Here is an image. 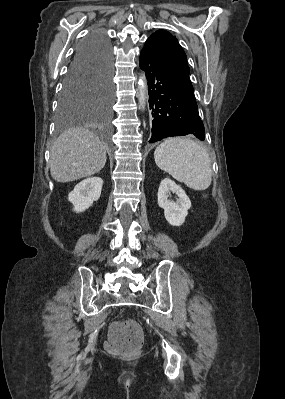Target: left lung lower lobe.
Instances as JSON below:
<instances>
[{
    "mask_svg": "<svg viewBox=\"0 0 285 399\" xmlns=\"http://www.w3.org/2000/svg\"><path fill=\"white\" fill-rule=\"evenodd\" d=\"M139 63L148 80L152 109V136L149 142L187 134L204 140V125L198 114L193 89L175 78L159 60L143 49Z\"/></svg>",
    "mask_w": 285,
    "mask_h": 399,
    "instance_id": "left-lung-lower-lobe-1",
    "label": "left lung lower lobe"
}]
</instances>
